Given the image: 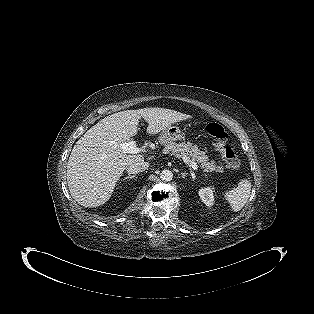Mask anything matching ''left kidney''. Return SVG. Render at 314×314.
Instances as JSON below:
<instances>
[{
    "mask_svg": "<svg viewBox=\"0 0 314 314\" xmlns=\"http://www.w3.org/2000/svg\"><path fill=\"white\" fill-rule=\"evenodd\" d=\"M199 196L202 202L207 206L211 207L214 203L213 190L210 187L201 188L199 190Z\"/></svg>",
    "mask_w": 314,
    "mask_h": 314,
    "instance_id": "5707ae66",
    "label": "left kidney"
}]
</instances>
